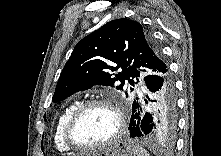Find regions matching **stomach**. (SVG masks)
Listing matches in <instances>:
<instances>
[{"label":"stomach","instance_id":"stomach-1","mask_svg":"<svg viewBox=\"0 0 221 156\" xmlns=\"http://www.w3.org/2000/svg\"><path fill=\"white\" fill-rule=\"evenodd\" d=\"M88 156H136L133 145L129 142L122 141L109 147H105Z\"/></svg>","mask_w":221,"mask_h":156}]
</instances>
